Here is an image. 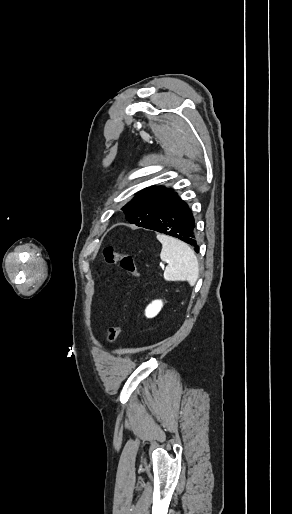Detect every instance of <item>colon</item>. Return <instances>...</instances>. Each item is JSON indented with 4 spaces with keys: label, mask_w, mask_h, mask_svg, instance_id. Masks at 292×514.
Masks as SVG:
<instances>
[{
    "label": "colon",
    "mask_w": 292,
    "mask_h": 514,
    "mask_svg": "<svg viewBox=\"0 0 292 514\" xmlns=\"http://www.w3.org/2000/svg\"><path fill=\"white\" fill-rule=\"evenodd\" d=\"M102 257L107 265H119L124 271L131 274H138L139 270L132 254L120 253L113 246H107L102 250ZM123 331L122 325H111L107 327L105 340L107 343L115 342Z\"/></svg>",
    "instance_id": "1"
}]
</instances>
